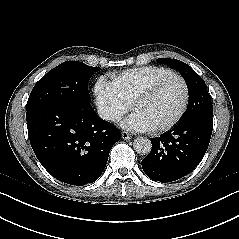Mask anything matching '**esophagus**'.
I'll return each instance as SVG.
<instances>
[{
  "label": "esophagus",
  "mask_w": 239,
  "mask_h": 239,
  "mask_svg": "<svg viewBox=\"0 0 239 239\" xmlns=\"http://www.w3.org/2000/svg\"><path fill=\"white\" fill-rule=\"evenodd\" d=\"M121 137H122V139H124V140H129V139L131 138V135H130L128 132L123 131V132L121 133Z\"/></svg>",
  "instance_id": "34e87169"
}]
</instances>
